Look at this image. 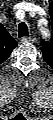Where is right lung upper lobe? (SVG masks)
Masks as SVG:
<instances>
[{
    "instance_id": "obj_1",
    "label": "right lung upper lobe",
    "mask_w": 53,
    "mask_h": 120,
    "mask_svg": "<svg viewBox=\"0 0 53 120\" xmlns=\"http://www.w3.org/2000/svg\"><path fill=\"white\" fill-rule=\"evenodd\" d=\"M17 47V42L4 27L0 29V63L4 62L14 48Z\"/></svg>"
}]
</instances>
